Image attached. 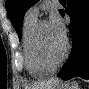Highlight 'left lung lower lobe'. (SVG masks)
Listing matches in <instances>:
<instances>
[{
    "mask_svg": "<svg viewBox=\"0 0 89 89\" xmlns=\"http://www.w3.org/2000/svg\"><path fill=\"white\" fill-rule=\"evenodd\" d=\"M65 12L71 17L69 25L73 45L72 50L57 74L63 80L73 77L89 79V0H67ZM64 11H60L62 16Z\"/></svg>",
    "mask_w": 89,
    "mask_h": 89,
    "instance_id": "left-lung-lower-lobe-1",
    "label": "left lung lower lobe"
}]
</instances>
